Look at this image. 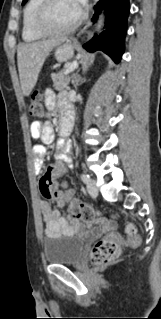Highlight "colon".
<instances>
[{
  "label": "colon",
  "instance_id": "colon-1",
  "mask_svg": "<svg viewBox=\"0 0 161 319\" xmlns=\"http://www.w3.org/2000/svg\"><path fill=\"white\" fill-rule=\"evenodd\" d=\"M29 114L33 117H39L43 114L42 98L37 91L32 94L29 104ZM40 191L48 199L60 200L64 196L63 192L55 189L50 174L44 175L41 179ZM68 215L74 219L88 222L98 218L100 214L95 212L87 202L72 199L69 202ZM140 243V236L134 226L129 224L126 227V238L114 232L97 241L91 251V260L99 265L112 264L120 256L123 246H138Z\"/></svg>",
  "mask_w": 161,
  "mask_h": 319
}]
</instances>
